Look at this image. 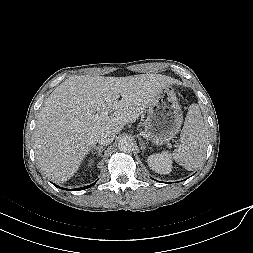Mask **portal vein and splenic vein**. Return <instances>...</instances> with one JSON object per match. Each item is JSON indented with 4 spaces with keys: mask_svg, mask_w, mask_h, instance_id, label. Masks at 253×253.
I'll use <instances>...</instances> for the list:
<instances>
[{
    "mask_svg": "<svg viewBox=\"0 0 253 253\" xmlns=\"http://www.w3.org/2000/svg\"><path fill=\"white\" fill-rule=\"evenodd\" d=\"M109 115V112L108 111H104L101 113V117H105V116H108Z\"/></svg>",
    "mask_w": 253,
    "mask_h": 253,
    "instance_id": "obj_1",
    "label": "portal vein and splenic vein"
}]
</instances>
